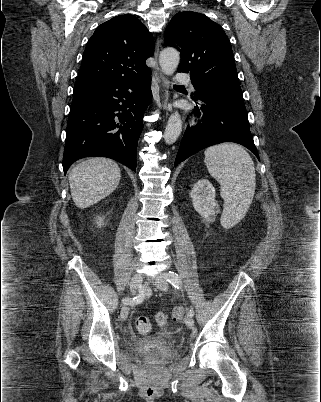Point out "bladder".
<instances>
[{
  "label": "bladder",
  "instance_id": "31cf9c89",
  "mask_svg": "<svg viewBox=\"0 0 321 402\" xmlns=\"http://www.w3.org/2000/svg\"><path fill=\"white\" fill-rule=\"evenodd\" d=\"M167 337L163 335H152L143 339L139 345L135 347L137 353L152 363L165 364L171 359V355L166 352V349L161 342Z\"/></svg>",
  "mask_w": 321,
  "mask_h": 402
}]
</instances>
